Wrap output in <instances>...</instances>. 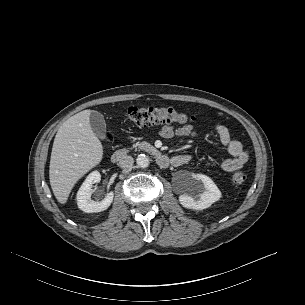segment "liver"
Returning a JSON list of instances; mask_svg holds the SVG:
<instances>
[{
    "label": "liver",
    "instance_id": "6515ba94",
    "mask_svg": "<svg viewBox=\"0 0 305 305\" xmlns=\"http://www.w3.org/2000/svg\"><path fill=\"white\" fill-rule=\"evenodd\" d=\"M91 110L67 119L54 139L49 179L59 203L65 204L76 182L100 163L103 147L90 125Z\"/></svg>",
    "mask_w": 305,
    "mask_h": 305
}]
</instances>
